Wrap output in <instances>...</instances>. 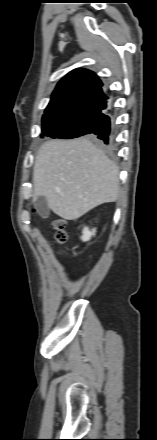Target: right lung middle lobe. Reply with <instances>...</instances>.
Returning a JSON list of instances; mask_svg holds the SVG:
<instances>
[{"mask_svg": "<svg viewBox=\"0 0 157 440\" xmlns=\"http://www.w3.org/2000/svg\"><path fill=\"white\" fill-rule=\"evenodd\" d=\"M42 124L43 134L51 138L71 139L96 135L88 126L78 120H51L43 121Z\"/></svg>", "mask_w": 157, "mask_h": 440, "instance_id": "dd1d6c3e", "label": "right lung middle lobe"}]
</instances>
